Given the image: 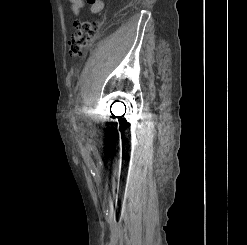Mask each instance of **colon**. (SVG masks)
I'll list each match as a JSON object with an SVG mask.
<instances>
[{"mask_svg":"<svg viewBox=\"0 0 247 245\" xmlns=\"http://www.w3.org/2000/svg\"><path fill=\"white\" fill-rule=\"evenodd\" d=\"M99 23L96 20H84L77 23L69 40V54L74 58L83 57L88 46L93 42L98 32Z\"/></svg>","mask_w":247,"mask_h":245,"instance_id":"colon-1","label":"colon"}]
</instances>
